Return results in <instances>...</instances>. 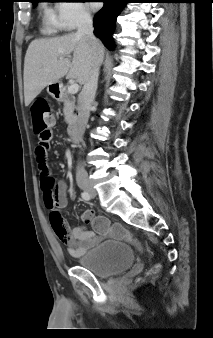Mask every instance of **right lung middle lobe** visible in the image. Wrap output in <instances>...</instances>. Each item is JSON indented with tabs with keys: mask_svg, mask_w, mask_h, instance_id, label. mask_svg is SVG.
<instances>
[{
	"mask_svg": "<svg viewBox=\"0 0 213 338\" xmlns=\"http://www.w3.org/2000/svg\"><path fill=\"white\" fill-rule=\"evenodd\" d=\"M37 2H38V0H32L34 7L36 6Z\"/></svg>",
	"mask_w": 213,
	"mask_h": 338,
	"instance_id": "dd1d6c3e",
	"label": "right lung middle lobe"
}]
</instances>
